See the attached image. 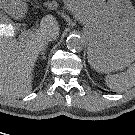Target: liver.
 Returning a JSON list of instances; mask_svg holds the SVG:
<instances>
[{
	"label": "liver",
	"instance_id": "liver-1",
	"mask_svg": "<svg viewBox=\"0 0 135 135\" xmlns=\"http://www.w3.org/2000/svg\"><path fill=\"white\" fill-rule=\"evenodd\" d=\"M59 36V24L53 16H45L40 28L30 36L16 38L0 34V95L23 97L32 90V72L43 51L46 34Z\"/></svg>",
	"mask_w": 135,
	"mask_h": 135
}]
</instances>
